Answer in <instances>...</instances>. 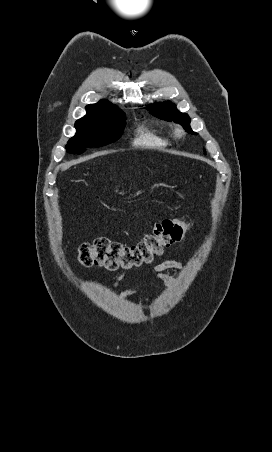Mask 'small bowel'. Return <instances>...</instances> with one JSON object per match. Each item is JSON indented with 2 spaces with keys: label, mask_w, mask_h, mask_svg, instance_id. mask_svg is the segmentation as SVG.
<instances>
[{
  "label": "small bowel",
  "mask_w": 272,
  "mask_h": 452,
  "mask_svg": "<svg viewBox=\"0 0 272 452\" xmlns=\"http://www.w3.org/2000/svg\"><path fill=\"white\" fill-rule=\"evenodd\" d=\"M183 267H184V264L181 261H176V260L165 261V262L158 263L154 266V274H155L156 278L158 280H160L162 283L171 285V284H175L177 282V280L174 277L166 274L165 271L180 270ZM125 276H126V274L124 272L119 274L116 278L115 285H117L119 282H121L125 278ZM135 293H136L135 289L128 288V289H125L121 293V297L126 298L129 296H132Z\"/></svg>",
  "instance_id": "obj_1"
}]
</instances>
